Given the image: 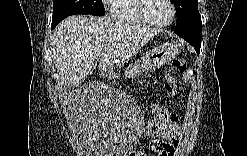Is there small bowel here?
Segmentation results:
<instances>
[{
  "label": "small bowel",
  "mask_w": 247,
  "mask_h": 156,
  "mask_svg": "<svg viewBox=\"0 0 247 156\" xmlns=\"http://www.w3.org/2000/svg\"><path fill=\"white\" fill-rule=\"evenodd\" d=\"M152 107H165L159 103H155ZM167 118L164 120L163 130H159V135L151 140V151L161 156L173 155L178 150V143L182 136V128L177 115L166 112ZM147 150L131 151V156L145 155Z\"/></svg>",
  "instance_id": "1"
}]
</instances>
